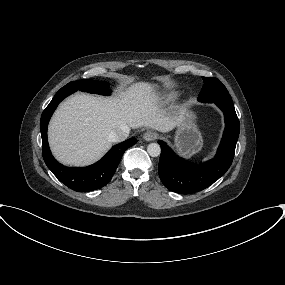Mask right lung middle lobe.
Wrapping results in <instances>:
<instances>
[{
	"mask_svg": "<svg viewBox=\"0 0 285 285\" xmlns=\"http://www.w3.org/2000/svg\"><path fill=\"white\" fill-rule=\"evenodd\" d=\"M61 89L71 90L72 92L81 90L84 92L101 94V95H109L111 93V90L109 89V83L96 81V80L72 81Z\"/></svg>",
	"mask_w": 285,
	"mask_h": 285,
	"instance_id": "obj_1",
	"label": "right lung middle lobe"
}]
</instances>
